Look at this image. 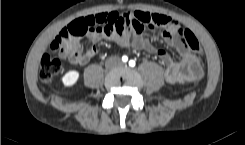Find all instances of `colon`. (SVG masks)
Masks as SVG:
<instances>
[{
  "label": "colon",
  "instance_id": "5ec220e1",
  "mask_svg": "<svg viewBox=\"0 0 245 145\" xmlns=\"http://www.w3.org/2000/svg\"><path fill=\"white\" fill-rule=\"evenodd\" d=\"M80 18L74 19L64 26L58 36L51 42L49 50L45 53L41 59V65L39 70V76L44 81H49L57 76L61 70V62L56 57V54L60 56L70 53L69 40H76L87 36L93 27L98 28L111 27L118 32H134L140 33L145 27L155 28L165 25L168 30L176 33L188 47L197 51L199 49V43L192 33L181 26L178 22L172 20L169 17L154 14L151 18L145 14L141 15L140 20L129 19L126 16L120 17L115 22H105L101 16H98V23L96 24L93 16H88L86 22L80 21Z\"/></svg>",
  "mask_w": 245,
  "mask_h": 145
}]
</instances>
